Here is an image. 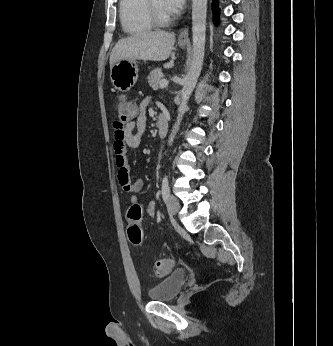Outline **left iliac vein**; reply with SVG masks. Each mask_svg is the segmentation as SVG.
<instances>
[{"instance_id": "left-iliac-vein-1", "label": "left iliac vein", "mask_w": 333, "mask_h": 346, "mask_svg": "<svg viewBox=\"0 0 333 346\" xmlns=\"http://www.w3.org/2000/svg\"><path fill=\"white\" fill-rule=\"evenodd\" d=\"M179 202L178 200L173 197L169 196L167 199V211L170 215H176L177 212L179 211Z\"/></svg>"}]
</instances>
